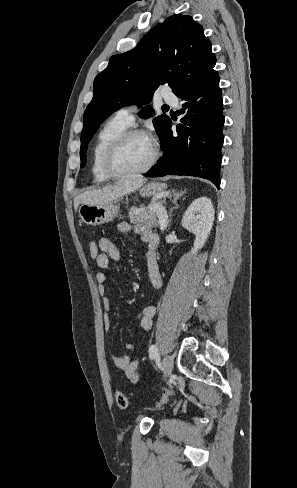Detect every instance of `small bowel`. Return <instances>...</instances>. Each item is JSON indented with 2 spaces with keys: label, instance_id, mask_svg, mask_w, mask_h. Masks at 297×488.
<instances>
[{
  "label": "small bowel",
  "instance_id": "obj_1",
  "mask_svg": "<svg viewBox=\"0 0 297 488\" xmlns=\"http://www.w3.org/2000/svg\"><path fill=\"white\" fill-rule=\"evenodd\" d=\"M139 236L140 240L148 245L147 253V267L149 279L155 288L162 286L161 270L157 261V246L158 235L154 233L149 227L144 225L132 226L127 222H122L118 225V230L121 233H128L131 230ZM99 255L96 259L97 266L101 269L96 273V281L98 284V291L103 299V316L105 327L108 329L111 323V304L107 296V276L103 271L110 265V261H118L120 259V251L114 242L107 237H102L98 241ZM157 308L153 305L144 307L137 315V322L144 330H150L153 325V318L156 315ZM132 345L125 344V351L118 354L115 351L110 352V357L113 364L122 371L123 375L136 382L140 377L141 361L134 359L132 356Z\"/></svg>",
  "mask_w": 297,
  "mask_h": 488
}]
</instances>
